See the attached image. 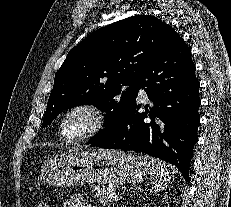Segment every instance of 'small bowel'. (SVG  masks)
<instances>
[{"mask_svg": "<svg viewBox=\"0 0 231 207\" xmlns=\"http://www.w3.org/2000/svg\"><path fill=\"white\" fill-rule=\"evenodd\" d=\"M62 207H94V206L88 204L83 196L73 195L63 203Z\"/></svg>", "mask_w": 231, "mask_h": 207, "instance_id": "c3829d8e", "label": "small bowel"}]
</instances>
